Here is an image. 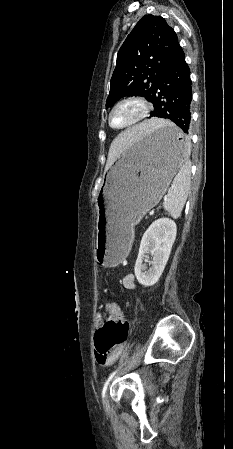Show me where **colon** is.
I'll use <instances>...</instances> for the list:
<instances>
[{
    "label": "colon",
    "mask_w": 233,
    "mask_h": 449,
    "mask_svg": "<svg viewBox=\"0 0 233 449\" xmlns=\"http://www.w3.org/2000/svg\"><path fill=\"white\" fill-rule=\"evenodd\" d=\"M108 316L104 326L94 337L95 353L104 355L122 346L127 339L129 325L122 319L119 306L115 302L106 305Z\"/></svg>",
    "instance_id": "colon-1"
}]
</instances>
